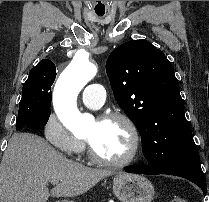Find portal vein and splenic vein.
I'll use <instances>...</instances> for the list:
<instances>
[{
    "label": "portal vein and splenic vein",
    "mask_w": 209,
    "mask_h": 202,
    "mask_svg": "<svg viewBox=\"0 0 209 202\" xmlns=\"http://www.w3.org/2000/svg\"><path fill=\"white\" fill-rule=\"evenodd\" d=\"M50 182H51L53 185H58V183H59V182L56 181V180H51Z\"/></svg>",
    "instance_id": "portal-vein-and-splenic-vein-1"
}]
</instances>
